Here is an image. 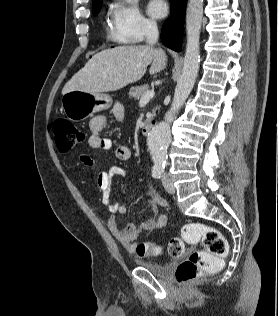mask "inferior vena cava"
Masks as SVG:
<instances>
[{
  "instance_id": "obj_1",
  "label": "inferior vena cava",
  "mask_w": 278,
  "mask_h": 316,
  "mask_svg": "<svg viewBox=\"0 0 278 316\" xmlns=\"http://www.w3.org/2000/svg\"><path fill=\"white\" fill-rule=\"evenodd\" d=\"M146 42L154 45L158 41L159 32L155 22H147L145 25Z\"/></svg>"
}]
</instances>
